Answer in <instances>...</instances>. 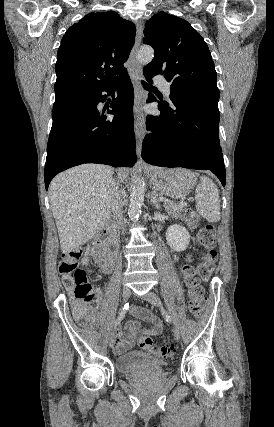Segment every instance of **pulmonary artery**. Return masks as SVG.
Returning a JSON list of instances; mask_svg holds the SVG:
<instances>
[{
  "mask_svg": "<svg viewBox=\"0 0 274 427\" xmlns=\"http://www.w3.org/2000/svg\"><path fill=\"white\" fill-rule=\"evenodd\" d=\"M162 81L163 80L160 77L156 79V82L159 84L162 83ZM161 89H162L163 93L165 94V96L167 97V99L170 100L171 90H170L169 84L168 83H162Z\"/></svg>",
  "mask_w": 274,
  "mask_h": 427,
  "instance_id": "e3ab8cb5",
  "label": "pulmonary artery"
}]
</instances>
